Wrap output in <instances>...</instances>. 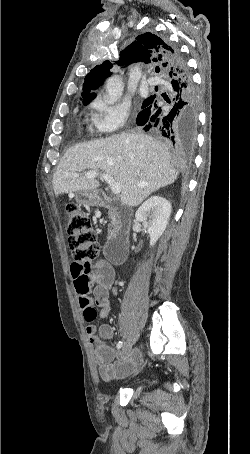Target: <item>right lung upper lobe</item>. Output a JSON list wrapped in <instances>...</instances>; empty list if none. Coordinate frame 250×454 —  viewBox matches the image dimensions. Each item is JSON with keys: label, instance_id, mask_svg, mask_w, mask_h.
Listing matches in <instances>:
<instances>
[{"label": "right lung upper lobe", "instance_id": "right-lung-upper-lobe-1", "mask_svg": "<svg viewBox=\"0 0 250 454\" xmlns=\"http://www.w3.org/2000/svg\"><path fill=\"white\" fill-rule=\"evenodd\" d=\"M133 62H144L145 64H156V69L163 76L166 75L172 63L170 61L169 46L166 40L152 33H144L136 37V41L120 52L119 60L115 63L119 66H127ZM113 64L104 61L94 67L85 77L83 84V102H90L95 93H89L102 85L106 77L111 75Z\"/></svg>", "mask_w": 250, "mask_h": 454}]
</instances>
